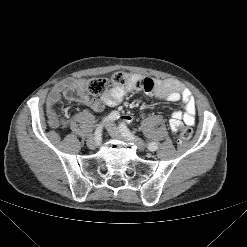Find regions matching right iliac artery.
<instances>
[{
	"label": "right iliac artery",
	"mask_w": 247,
	"mask_h": 247,
	"mask_svg": "<svg viewBox=\"0 0 247 247\" xmlns=\"http://www.w3.org/2000/svg\"><path fill=\"white\" fill-rule=\"evenodd\" d=\"M120 117V114H119V112H117V111H113V112H111L108 116H106L104 119H103V121H102V123L101 124H99L98 125V127L96 128V130H95V138L97 139L96 141H95V144L97 145V146H100L101 144H102V141L100 140V138H101V133H102V129H103V126L106 124V123H108V122H110V121H114V120H116V119H118Z\"/></svg>",
	"instance_id": "right-iliac-artery-1"
}]
</instances>
